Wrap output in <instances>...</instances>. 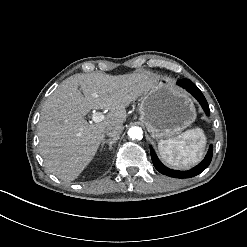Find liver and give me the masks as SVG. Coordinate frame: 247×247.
<instances>
[{"label":"liver","instance_id":"liver-1","mask_svg":"<svg viewBox=\"0 0 247 247\" xmlns=\"http://www.w3.org/2000/svg\"><path fill=\"white\" fill-rule=\"evenodd\" d=\"M158 80L150 70L116 76L92 72L64 80L44 102L38 122L45 168L63 181L74 180L95 155L105 128L123 123L126 106ZM91 109L110 112L103 121L89 124L83 115Z\"/></svg>","mask_w":247,"mask_h":247}]
</instances>
